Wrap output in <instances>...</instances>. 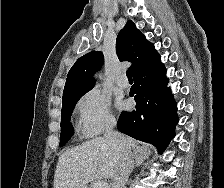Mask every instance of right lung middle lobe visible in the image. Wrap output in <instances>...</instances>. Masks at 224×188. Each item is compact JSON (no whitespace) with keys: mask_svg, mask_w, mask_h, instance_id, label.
Masks as SVG:
<instances>
[{"mask_svg":"<svg viewBox=\"0 0 224 188\" xmlns=\"http://www.w3.org/2000/svg\"><path fill=\"white\" fill-rule=\"evenodd\" d=\"M88 91L73 93L63 97L62 111H61V135H60L61 147L68 142V140L71 138L74 132L70 119L75 104Z\"/></svg>","mask_w":224,"mask_h":188,"instance_id":"right-lung-middle-lobe-1","label":"right lung middle lobe"}]
</instances>
